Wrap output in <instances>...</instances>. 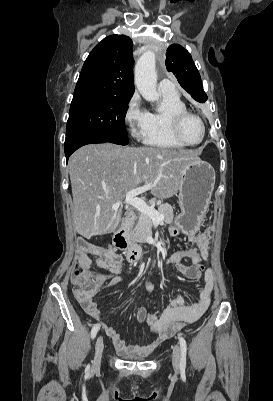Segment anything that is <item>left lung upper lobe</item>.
<instances>
[{
  "label": "left lung upper lobe",
  "instance_id": "1",
  "mask_svg": "<svg viewBox=\"0 0 273 401\" xmlns=\"http://www.w3.org/2000/svg\"><path fill=\"white\" fill-rule=\"evenodd\" d=\"M166 68L176 76L180 85L195 101L204 103L207 100L200 74L190 53L185 48L178 44H172L168 47Z\"/></svg>",
  "mask_w": 273,
  "mask_h": 401
}]
</instances>
